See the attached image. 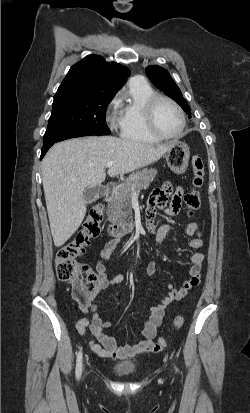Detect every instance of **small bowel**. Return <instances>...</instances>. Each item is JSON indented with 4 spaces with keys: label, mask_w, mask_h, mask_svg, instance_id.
<instances>
[{
    "label": "small bowel",
    "mask_w": 250,
    "mask_h": 413,
    "mask_svg": "<svg viewBox=\"0 0 250 413\" xmlns=\"http://www.w3.org/2000/svg\"><path fill=\"white\" fill-rule=\"evenodd\" d=\"M171 197V203L168 205V198ZM184 200V190L181 187H175L171 183H166L161 188L153 190L149 200L147 208V226L153 233L157 245H161L166 236L175 232L176 229L171 224H162L158 228L153 225V219L156 214V209H163L168 215L178 214L180 206ZM185 234L191 239L188 242V247L191 249H201L204 247V241L199 225L192 221L186 229ZM118 240H111L107 242L100 253V260L96 264V281L97 284L90 295L89 302L81 306L84 312L91 313V319L84 317L77 321L76 330L79 334L85 335L86 329L89 328L93 339L89 341L91 350L98 356L103 358H113L120 360L132 359L137 356L156 353L160 351L156 347L154 339L157 335L158 328L160 327L165 309L174 301L183 299L188 291L197 286L200 282L202 264L205 259V255L201 252H195L187 259L185 263L191 265L189 270V277L179 287L175 288L172 284H168V292L163 299L156 305L151 306L148 310V317L145 320L140 332L141 339L134 344L121 345L117 342L116 338L108 335L104 332L105 329L111 327V322L104 320L100 317L96 305L93 304L94 298L102 291L109 287L119 284L124 280V276L119 274L109 279L105 273L104 262L109 260L114 252ZM157 271V263L151 261L147 265V274L152 276Z\"/></svg>",
    "instance_id": "1"
}]
</instances>
